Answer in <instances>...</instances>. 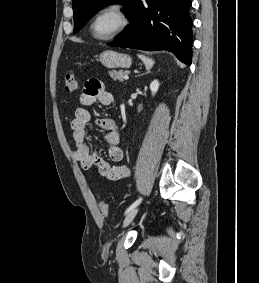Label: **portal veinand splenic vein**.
<instances>
[{
  "label": "portal vein and splenic vein",
  "instance_id": "obj_1",
  "mask_svg": "<svg viewBox=\"0 0 259 283\" xmlns=\"http://www.w3.org/2000/svg\"><path fill=\"white\" fill-rule=\"evenodd\" d=\"M124 79H125V80H128V79H129V76H128V75H125V76H124Z\"/></svg>",
  "mask_w": 259,
  "mask_h": 283
}]
</instances>
